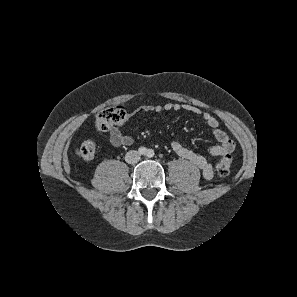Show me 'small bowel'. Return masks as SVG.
<instances>
[{
    "mask_svg": "<svg viewBox=\"0 0 297 297\" xmlns=\"http://www.w3.org/2000/svg\"><path fill=\"white\" fill-rule=\"evenodd\" d=\"M146 112H169V111H185L202 118L207 126L212 130L216 144L210 148L212 156H224L230 154L234 150V142L229 138L227 133L219 128L218 120L209 112L203 111L200 108L191 104L166 103L163 105L144 106ZM108 138L112 145L116 147L130 146L134 139L132 136L124 134L118 126L112 127L108 132ZM173 151L181 158L188 160L195 167L202 171L206 179H211L214 176L213 165L201 154H198L179 141L174 140L171 143Z\"/></svg>",
    "mask_w": 297,
    "mask_h": 297,
    "instance_id": "small-bowel-1",
    "label": "small bowel"
}]
</instances>
